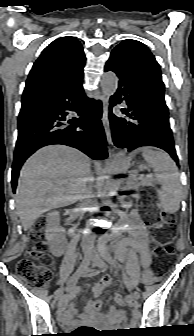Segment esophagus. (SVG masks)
<instances>
[{
	"mask_svg": "<svg viewBox=\"0 0 194 336\" xmlns=\"http://www.w3.org/2000/svg\"><path fill=\"white\" fill-rule=\"evenodd\" d=\"M108 112H109V99L108 97L103 98V114H102V123L105 130L106 138L109 144H113L111 130L108 122Z\"/></svg>",
	"mask_w": 194,
	"mask_h": 336,
	"instance_id": "1",
	"label": "esophagus"
}]
</instances>
